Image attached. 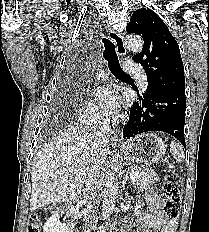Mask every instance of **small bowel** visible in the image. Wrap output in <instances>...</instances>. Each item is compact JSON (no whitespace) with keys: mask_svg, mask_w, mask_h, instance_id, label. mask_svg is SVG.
<instances>
[{"mask_svg":"<svg viewBox=\"0 0 209 232\" xmlns=\"http://www.w3.org/2000/svg\"><path fill=\"white\" fill-rule=\"evenodd\" d=\"M145 203L151 213L142 211L139 205L136 214L144 223L138 228L137 232H175L176 220L164 216L163 202L154 191L150 190L147 193Z\"/></svg>","mask_w":209,"mask_h":232,"instance_id":"small-bowel-1","label":"small bowel"}]
</instances>
